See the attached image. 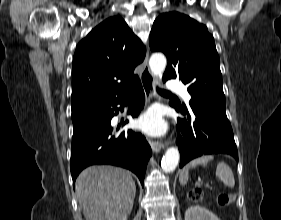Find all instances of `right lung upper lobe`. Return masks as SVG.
<instances>
[{
    "label": "right lung upper lobe",
    "mask_w": 281,
    "mask_h": 220,
    "mask_svg": "<svg viewBox=\"0 0 281 220\" xmlns=\"http://www.w3.org/2000/svg\"><path fill=\"white\" fill-rule=\"evenodd\" d=\"M126 22L110 17L76 47L72 69V119L127 95L140 82L135 67L145 57Z\"/></svg>",
    "instance_id": "cb5924a9"
}]
</instances>
